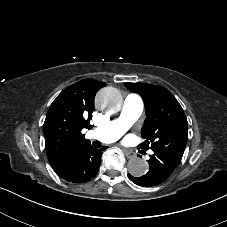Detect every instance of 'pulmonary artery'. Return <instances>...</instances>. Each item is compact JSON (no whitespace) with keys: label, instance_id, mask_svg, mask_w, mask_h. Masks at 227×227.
I'll list each match as a JSON object with an SVG mask.
<instances>
[{"label":"pulmonary artery","instance_id":"obj_1","mask_svg":"<svg viewBox=\"0 0 227 227\" xmlns=\"http://www.w3.org/2000/svg\"><path fill=\"white\" fill-rule=\"evenodd\" d=\"M140 106L141 100L137 95H128L124 100L120 117L107 121L97 129H87L86 137L100 141H114L120 138L140 115Z\"/></svg>","mask_w":227,"mask_h":227}]
</instances>
